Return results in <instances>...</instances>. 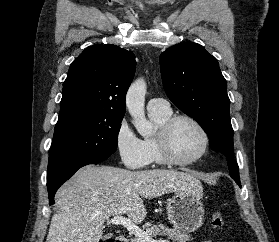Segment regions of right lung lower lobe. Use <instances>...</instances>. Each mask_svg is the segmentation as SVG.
<instances>
[{
  "label": "right lung lower lobe",
  "mask_w": 279,
  "mask_h": 242,
  "mask_svg": "<svg viewBox=\"0 0 279 242\" xmlns=\"http://www.w3.org/2000/svg\"><path fill=\"white\" fill-rule=\"evenodd\" d=\"M109 156L105 155H94V156H87L74 161L67 166L63 167L56 173L51 176H47V189H48V196H49V204H54V195L57 189L66 181L68 180L74 173L81 167L88 165V164H96L104 161Z\"/></svg>",
  "instance_id": "98d812e1"
}]
</instances>
